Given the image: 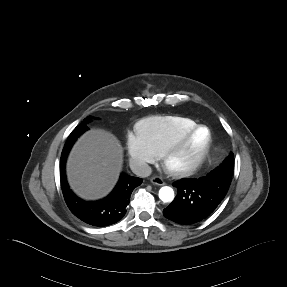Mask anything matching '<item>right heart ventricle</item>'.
I'll return each instance as SVG.
<instances>
[{"instance_id": "e07e8e85", "label": "right heart ventricle", "mask_w": 287, "mask_h": 287, "mask_svg": "<svg viewBox=\"0 0 287 287\" xmlns=\"http://www.w3.org/2000/svg\"><path fill=\"white\" fill-rule=\"evenodd\" d=\"M196 126V122L188 117L178 115L150 116L138 124V133L145 136L158 155L180 136Z\"/></svg>"}]
</instances>
